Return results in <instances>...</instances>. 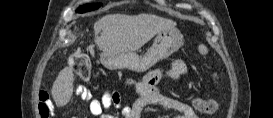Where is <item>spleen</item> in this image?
Returning <instances> with one entry per match:
<instances>
[{"instance_id":"1","label":"spleen","mask_w":273,"mask_h":118,"mask_svg":"<svg viewBox=\"0 0 273 118\" xmlns=\"http://www.w3.org/2000/svg\"><path fill=\"white\" fill-rule=\"evenodd\" d=\"M199 51L202 54H207V52H208L207 48L204 45L199 46Z\"/></svg>"}]
</instances>
